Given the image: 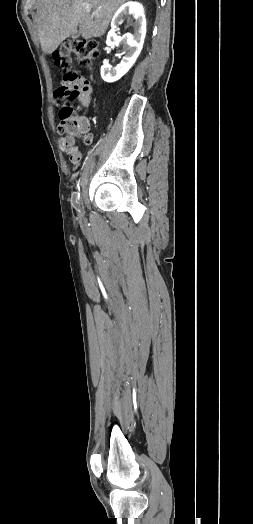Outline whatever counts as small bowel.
Instances as JSON below:
<instances>
[{"label":"small bowel","instance_id":"obj_1","mask_svg":"<svg viewBox=\"0 0 253 524\" xmlns=\"http://www.w3.org/2000/svg\"><path fill=\"white\" fill-rule=\"evenodd\" d=\"M53 95L55 98L60 99L63 97L64 92L62 89L57 88L54 90ZM92 92L86 96H78L79 102L83 108H87L91 101ZM88 129V123L83 118L82 119V131ZM60 147L63 153H65L70 161L74 164H78L82 159V153L76 149L66 138L60 139Z\"/></svg>","mask_w":253,"mask_h":524}]
</instances>
